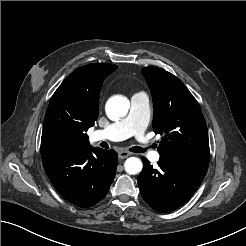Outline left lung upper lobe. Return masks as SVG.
<instances>
[{
  "label": "left lung upper lobe",
  "mask_w": 246,
  "mask_h": 246,
  "mask_svg": "<svg viewBox=\"0 0 246 246\" xmlns=\"http://www.w3.org/2000/svg\"><path fill=\"white\" fill-rule=\"evenodd\" d=\"M154 103L153 130L165 134L160 156H179L209 161L207 126L200 106L185 85L164 69H142Z\"/></svg>",
  "instance_id": "1"
}]
</instances>
